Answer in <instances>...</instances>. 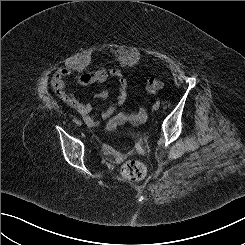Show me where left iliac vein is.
I'll use <instances>...</instances> for the list:
<instances>
[{"instance_id": "left-iliac-vein-1", "label": "left iliac vein", "mask_w": 245, "mask_h": 245, "mask_svg": "<svg viewBox=\"0 0 245 245\" xmlns=\"http://www.w3.org/2000/svg\"><path fill=\"white\" fill-rule=\"evenodd\" d=\"M152 108H153V110H155V111H156V110H158V109H159V105L155 103V104L153 105V107H152Z\"/></svg>"}]
</instances>
